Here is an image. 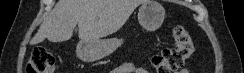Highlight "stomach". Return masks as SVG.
Segmentation results:
<instances>
[{
    "label": "stomach",
    "instance_id": "1",
    "mask_svg": "<svg viewBox=\"0 0 244 73\" xmlns=\"http://www.w3.org/2000/svg\"><path fill=\"white\" fill-rule=\"evenodd\" d=\"M165 18V9L155 0H147L138 10L140 25L148 30L158 29ZM123 43L122 39H98L92 41H80L77 45V56L83 61L91 62L102 59L113 53Z\"/></svg>",
    "mask_w": 244,
    "mask_h": 73
}]
</instances>
